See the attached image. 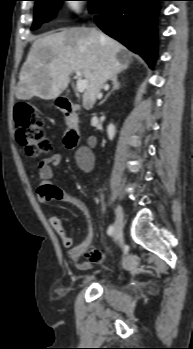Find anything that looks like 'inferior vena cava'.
<instances>
[{
	"label": "inferior vena cava",
	"instance_id": "1",
	"mask_svg": "<svg viewBox=\"0 0 193 349\" xmlns=\"http://www.w3.org/2000/svg\"><path fill=\"white\" fill-rule=\"evenodd\" d=\"M100 37H101V39H103L104 37H103V35H100ZM107 88V86H105V89ZM101 95V94H100Z\"/></svg>",
	"mask_w": 193,
	"mask_h": 349
}]
</instances>
